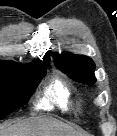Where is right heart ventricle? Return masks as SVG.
<instances>
[{
    "mask_svg": "<svg viewBox=\"0 0 117 136\" xmlns=\"http://www.w3.org/2000/svg\"><path fill=\"white\" fill-rule=\"evenodd\" d=\"M36 107L44 110H60L65 113L75 112L77 105L72 87L63 78H53L43 88Z\"/></svg>",
    "mask_w": 117,
    "mask_h": 136,
    "instance_id": "right-heart-ventricle-1",
    "label": "right heart ventricle"
}]
</instances>
